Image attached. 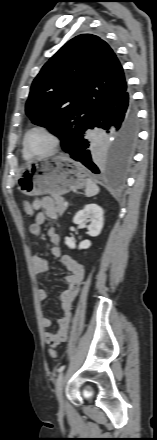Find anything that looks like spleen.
<instances>
[{
    "instance_id": "3e777b00",
    "label": "spleen",
    "mask_w": 157,
    "mask_h": 440,
    "mask_svg": "<svg viewBox=\"0 0 157 440\" xmlns=\"http://www.w3.org/2000/svg\"><path fill=\"white\" fill-rule=\"evenodd\" d=\"M99 193V187L96 185V183L88 178L86 179V189H85V195L87 197L95 196Z\"/></svg>"
}]
</instances>
